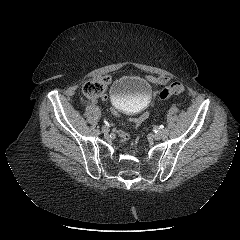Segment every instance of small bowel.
Here are the masks:
<instances>
[{
	"label": "small bowel",
	"mask_w": 240,
	"mask_h": 240,
	"mask_svg": "<svg viewBox=\"0 0 240 240\" xmlns=\"http://www.w3.org/2000/svg\"><path fill=\"white\" fill-rule=\"evenodd\" d=\"M146 79L155 87L162 86L166 84L169 81V77L167 75H159L157 77L155 76H146ZM105 82H108L109 79L105 78ZM101 99L104 101H107L109 99V96L107 93H102L101 94ZM110 113L112 114V117L120 124L123 125H128V126H140L143 123H145L148 119V114H143L141 117L138 119H129V118H123L122 117V112L117 109L116 107H111L110 108ZM115 132L117 135H121L122 142L125 143L129 139V135L125 132H123V129L121 126H116L115 127Z\"/></svg>",
	"instance_id": "c3829d8e"
}]
</instances>
